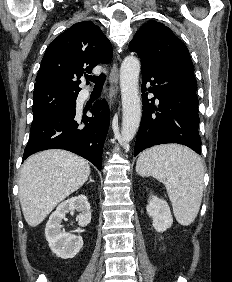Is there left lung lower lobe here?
<instances>
[{
    "mask_svg": "<svg viewBox=\"0 0 232 282\" xmlns=\"http://www.w3.org/2000/svg\"><path fill=\"white\" fill-rule=\"evenodd\" d=\"M151 87L146 89V83ZM197 81L182 71H152L142 68L143 113L135 143V156L154 145L179 143L201 155L198 133ZM148 93L155 97L148 100ZM151 101V102H149Z\"/></svg>",
    "mask_w": 232,
    "mask_h": 282,
    "instance_id": "0a47b994",
    "label": "left lung lower lobe"
}]
</instances>
